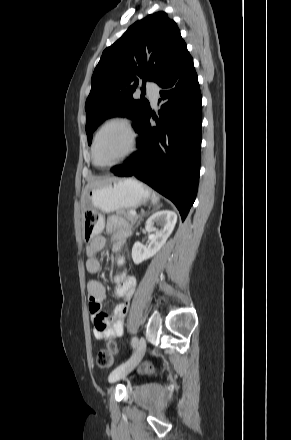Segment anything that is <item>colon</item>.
<instances>
[{
	"instance_id": "5ec220e1",
	"label": "colon",
	"mask_w": 291,
	"mask_h": 440,
	"mask_svg": "<svg viewBox=\"0 0 291 440\" xmlns=\"http://www.w3.org/2000/svg\"><path fill=\"white\" fill-rule=\"evenodd\" d=\"M107 324V323H106ZM119 352V346L116 342H110L108 349L100 350L97 354V364L100 368H109L113 363V355Z\"/></svg>"
}]
</instances>
